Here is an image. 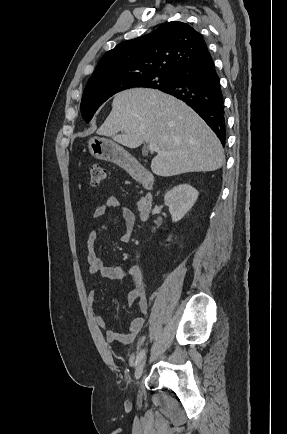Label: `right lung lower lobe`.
<instances>
[{
    "mask_svg": "<svg viewBox=\"0 0 287 434\" xmlns=\"http://www.w3.org/2000/svg\"><path fill=\"white\" fill-rule=\"evenodd\" d=\"M219 81L213 59L209 54L203 60L179 72L174 84L162 91L183 100L193 108L224 145V102Z\"/></svg>",
    "mask_w": 287,
    "mask_h": 434,
    "instance_id": "98d812e1",
    "label": "right lung lower lobe"
}]
</instances>
